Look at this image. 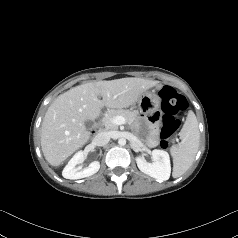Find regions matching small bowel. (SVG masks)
<instances>
[{
    "label": "small bowel",
    "mask_w": 238,
    "mask_h": 238,
    "mask_svg": "<svg viewBox=\"0 0 238 238\" xmlns=\"http://www.w3.org/2000/svg\"><path fill=\"white\" fill-rule=\"evenodd\" d=\"M148 120L152 124L151 133L148 137V145L153 147L157 144V127L156 125L160 124L163 120V115L158 110H153L148 115Z\"/></svg>",
    "instance_id": "1"
}]
</instances>
